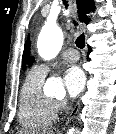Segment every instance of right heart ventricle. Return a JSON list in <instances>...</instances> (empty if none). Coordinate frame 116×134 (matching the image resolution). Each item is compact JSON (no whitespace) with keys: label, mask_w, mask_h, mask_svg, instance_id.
<instances>
[{"label":"right heart ventricle","mask_w":116,"mask_h":134,"mask_svg":"<svg viewBox=\"0 0 116 134\" xmlns=\"http://www.w3.org/2000/svg\"><path fill=\"white\" fill-rule=\"evenodd\" d=\"M45 74L33 67L20 92L19 121L28 129H43L56 118L54 101L42 91Z\"/></svg>","instance_id":"e07e8e85"}]
</instances>
